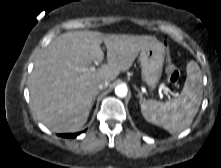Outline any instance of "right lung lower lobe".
<instances>
[{
    "mask_svg": "<svg viewBox=\"0 0 221 168\" xmlns=\"http://www.w3.org/2000/svg\"><path fill=\"white\" fill-rule=\"evenodd\" d=\"M78 134H79V133H75V134H62L61 136H62V137H68V138H70V137H76Z\"/></svg>",
    "mask_w": 221,
    "mask_h": 168,
    "instance_id": "right-lung-lower-lobe-1",
    "label": "right lung lower lobe"
}]
</instances>
